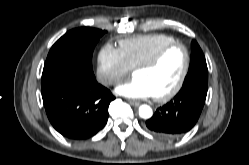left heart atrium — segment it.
<instances>
[{
	"mask_svg": "<svg viewBox=\"0 0 249 165\" xmlns=\"http://www.w3.org/2000/svg\"><path fill=\"white\" fill-rule=\"evenodd\" d=\"M116 93L127 98L141 99L153 97L154 94L148 84L139 77L121 83L116 88Z\"/></svg>",
	"mask_w": 249,
	"mask_h": 165,
	"instance_id": "left-heart-atrium-1",
	"label": "left heart atrium"
}]
</instances>
